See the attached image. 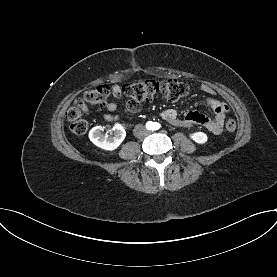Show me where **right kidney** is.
Masks as SVG:
<instances>
[{
    "instance_id": "obj_1",
    "label": "right kidney",
    "mask_w": 277,
    "mask_h": 277,
    "mask_svg": "<svg viewBox=\"0 0 277 277\" xmlns=\"http://www.w3.org/2000/svg\"><path fill=\"white\" fill-rule=\"evenodd\" d=\"M112 130L114 131V136L109 137L108 135H103L102 126L93 127L89 132V139L101 149L108 151L115 150L125 139L126 132L121 124H115Z\"/></svg>"
}]
</instances>
